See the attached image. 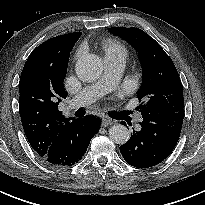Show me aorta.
Masks as SVG:
<instances>
[{
    "mask_svg": "<svg viewBox=\"0 0 205 205\" xmlns=\"http://www.w3.org/2000/svg\"><path fill=\"white\" fill-rule=\"evenodd\" d=\"M75 71L82 81H95L103 71L102 59L96 54H85L77 60ZM109 137L116 144H124L129 140L130 135L126 126L116 124L109 129Z\"/></svg>",
    "mask_w": 205,
    "mask_h": 205,
    "instance_id": "762f6f07",
    "label": "aorta"
}]
</instances>
